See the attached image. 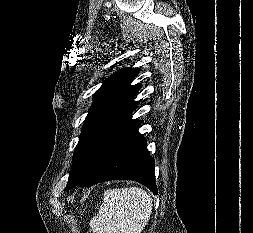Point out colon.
<instances>
[{
  "instance_id": "5ec220e1",
  "label": "colon",
  "mask_w": 253,
  "mask_h": 233,
  "mask_svg": "<svg viewBox=\"0 0 253 233\" xmlns=\"http://www.w3.org/2000/svg\"><path fill=\"white\" fill-rule=\"evenodd\" d=\"M90 232H91V233H94V231H93V230H90Z\"/></svg>"
}]
</instances>
